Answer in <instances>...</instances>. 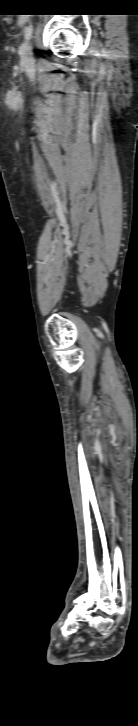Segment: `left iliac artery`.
Returning <instances> with one entry per match:
<instances>
[{"mask_svg": "<svg viewBox=\"0 0 138 726\" xmlns=\"http://www.w3.org/2000/svg\"><path fill=\"white\" fill-rule=\"evenodd\" d=\"M32 32H33V26L32 25H29V26H27L25 28V39L26 40H29L31 38Z\"/></svg>", "mask_w": 138, "mask_h": 726, "instance_id": "1", "label": "left iliac artery"}]
</instances>
